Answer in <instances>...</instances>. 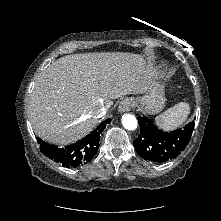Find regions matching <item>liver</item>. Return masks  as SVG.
I'll return each instance as SVG.
<instances>
[{"label":"liver","instance_id":"1","mask_svg":"<svg viewBox=\"0 0 221 221\" xmlns=\"http://www.w3.org/2000/svg\"><path fill=\"white\" fill-rule=\"evenodd\" d=\"M150 65L138 54H73L53 62L30 97L29 115L37 136L59 145L73 143L98 124L95 110L113 99L146 91Z\"/></svg>","mask_w":221,"mask_h":221}]
</instances>
